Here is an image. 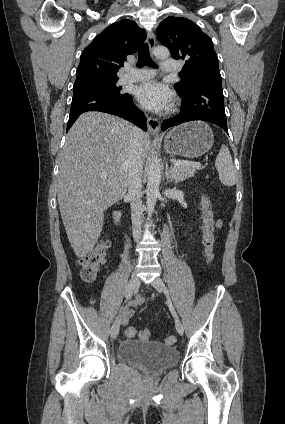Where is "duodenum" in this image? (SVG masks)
<instances>
[{
	"label": "duodenum",
	"instance_id": "1",
	"mask_svg": "<svg viewBox=\"0 0 285 424\" xmlns=\"http://www.w3.org/2000/svg\"><path fill=\"white\" fill-rule=\"evenodd\" d=\"M113 219L115 223L122 224V212L120 210H117L113 213Z\"/></svg>",
	"mask_w": 285,
	"mask_h": 424
}]
</instances>
